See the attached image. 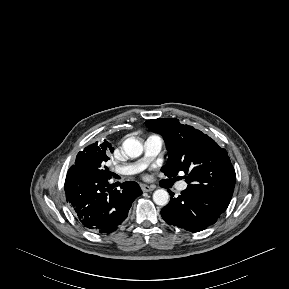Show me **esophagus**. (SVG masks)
<instances>
[{
	"label": "esophagus",
	"instance_id": "esophagus-1",
	"mask_svg": "<svg viewBox=\"0 0 289 289\" xmlns=\"http://www.w3.org/2000/svg\"><path fill=\"white\" fill-rule=\"evenodd\" d=\"M141 189L145 192H151L154 190V187L153 186H149V185H141Z\"/></svg>",
	"mask_w": 289,
	"mask_h": 289
}]
</instances>
